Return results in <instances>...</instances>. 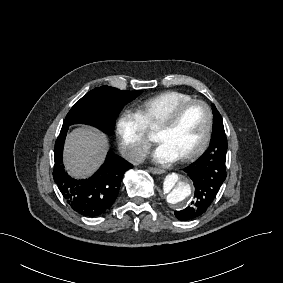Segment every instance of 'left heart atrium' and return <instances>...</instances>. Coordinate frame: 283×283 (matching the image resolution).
<instances>
[{
	"mask_svg": "<svg viewBox=\"0 0 283 283\" xmlns=\"http://www.w3.org/2000/svg\"><path fill=\"white\" fill-rule=\"evenodd\" d=\"M151 157L160 164H168L178 159V156L166 144H159Z\"/></svg>",
	"mask_w": 283,
	"mask_h": 283,
	"instance_id": "39dd6f15",
	"label": "left heart atrium"
}]
</instances>
